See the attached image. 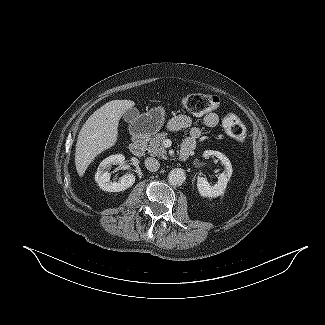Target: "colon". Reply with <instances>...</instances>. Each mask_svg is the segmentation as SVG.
<instances>
[{
    "label": "colon",
    "instance_id": "5ec220e1",
    "mask_svg": "<svg viewBox=\"0 0 325 325\" xmlns=\"http://www.w3.org/2000/svg\"><path fill=\"white\" fill-rule=\"evenodd\" d=\"M220 99L212 94H191L182 99L183 108L193 115H201L216 110ZM224 128L230 138L243 142L246 138V129L235 113H228L223 120Z\"/></svg>",
    "mask_w": 325,
    "mask_h": 325
}]
</instances>
